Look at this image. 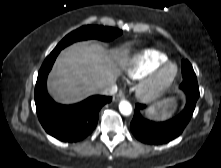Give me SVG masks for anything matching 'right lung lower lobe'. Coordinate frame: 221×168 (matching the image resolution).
I'll use <instances>...</instances> for the list:
<instances>
[{
	"instance_id": "obj_1",
	"label": "right lung lower lobe",
	"mask_w": 221,
	"mask_h": 168,
	"mask_svg": "<svg viewBox=\"0 0 221 168\" xmlns=\"http://www.w3.org/2000/svg\"><path fill=\"white\" fill-rule=\"evenodd\" d=\"M60 51L53 50L39 70L35 86L37 116L45 131L51 136L63 142H77L93 131L101 107L112 98L95 95L74 105L56 103L47 93L46 80Z\"/></svg>"
}]
</instances>
